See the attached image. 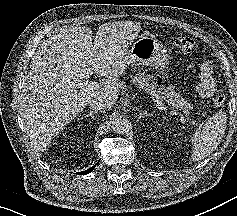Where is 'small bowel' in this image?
I'll list each match as a JSON object with an SVG mask.
<instances>
[{
  "mask_svg": "<svg viewBox=\"0 0 237 216\" xmlns=\"http://www.w3.org/2000/svg\"><path fill=\"white\" fill-rule=\"evenodd\" d=\"M201 82L198 85L197 91L201 97H210L215 91V86L212 81V66L205 62L200 69Z\"/></svg>",
  "mask_w": 237,
  "mask_h": 216,
  "instance_id": "c3829d8e",
  "label": "small bowel"
}]
</instances>
